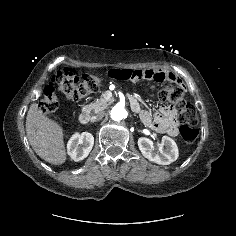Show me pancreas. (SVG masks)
<instances>
[{"instance_id": "1", "label": "pancreas", "mask_w": 236, "mask_h": 236, "mask_svg": "<svg viewBox=\"0 0 236 236\" xmlns=\"http://www.w3.org/2000/svg\"><path fill=\"white\" fill-rule=\"evenodd\" d=\"M113 99H106L105 97H101L100 99L96 100L95 102H92L86 106H84V109L87 111H93L95 113L105 109L109 104H111Z\"/></svg>"}]
</instances>
